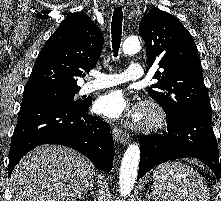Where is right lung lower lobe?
Wrapping results in <instances>:
<instances>
[{
	"label": "right lung lower lobe",
	"instance_id": "1",
	"mask_svg": "<svg viewBox=\"0 0 221 201\" xmlns=\"http://www.w3.org/2000/svg\"><path fill=\"white\" fill-rule=\"evenodd\" d=\"M92 100L74 106L46 99L22 101L18 122L11 139L8 177L13 168L33 148L60 144L85 155L100 170L109 172L114 142L109 125L87 114Z\"/></svg>",
	"mask_w": 221,
	"mask_h": 201
}]
</instances>
